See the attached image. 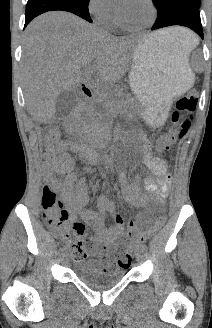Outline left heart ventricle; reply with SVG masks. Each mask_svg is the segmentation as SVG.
I'll use <instances>...</instances> for the list:
<instances>
[{
    "instance_id": "b2bd125f",
    "label": "left heart ventricle",
    "mask_w": 212,
    "mask_h": 328,
    "mask_svg": "<svg viewBox=\"0 0 212 328\" xmlns=\"http://www.w3.org/2000/svg\"><path fill=\"white\" fill-rule=\"evenodd\" d=\"M121 15L128 24L141 26L150 21L152 13L145 0H128L121 8Z\"/></svg>"
}]
</instances>
